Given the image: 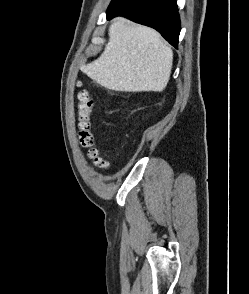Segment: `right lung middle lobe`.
I'll use <instances>...</instances> for the list:
<instances>
[{"mask_svg":"<svg viewBox=\"0 0 249 294\" xmlns=\"http://www.w3.org/2000/svg\"><path fill=\"white\" fill-rule=\"evenodd\" d=\"M124 0H113L109 6V8L114 7L116 5H118L119 3H121Z\"/></svg>","mask_w":249,"mask_h":294,"instance_id":"obj_1","label":"right lung middle lobe"}]
</instances>
